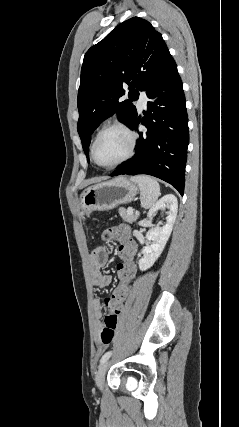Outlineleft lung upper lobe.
I'll return each instance as SVG.
<instances>
[{
  "label": "left lung upper lobe",
  "instance_id": "left-lung-upper-lobe-1",
  "mask_svg": "<svg viewBox=\"0 0 239 427\" xmlns=\"http://www.w3.org/2000/svg\"><path fill=\"white\" fill-rule=\"evenodd\" d=\"M173 62L161 34L139 17L124 21L86 52L77 99V130L87 158L97 126L117 113L120 122L129 127L137 117L132 102L138 99V90L146 91ZM124 84L130 91L129 99L122 101Z\"/></svg>",
  "mask_w": 239,
  "mask_h": 427
}]
</instances>
